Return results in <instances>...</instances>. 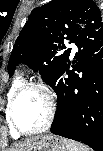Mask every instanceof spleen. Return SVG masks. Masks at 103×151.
Here are the masks:
<instances>
[{
    "mask_svg": "<svg viewBox=\"0 0 103 151\" xmlns=\"http://www.w3.org/2000/svg\"><path fill=\"white\" fill-rule=\"evenodd\" d=\"M62 140L66 145L67 151H90L89 148L74 140H69L66 138H63Z\"/></svg>",
    "mask_w": 103,
    "mask_h": 151,
    "instance_id": "3e777b00",
    "label": "spleen"
}]
</instances>
